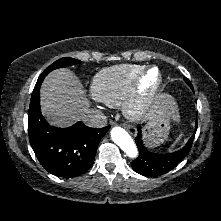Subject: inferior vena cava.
<instances>
[{"mask_svg": "<svg viewBox=\"0 0 221 221\" xmlns=\"http://www.w3.org/2000/svg\"><path fill=\"white\" fill-rule=\"evenodd\" d=\"M82 121L90 127L102 128L107 123L106 116L98 110H88L82 115Z\"/></svg>", "mask_w": 221, "mask_h": 221, "instance_id": "inferior-vena-cava-1", "label": "inferior vena cava"}]
</instances>
